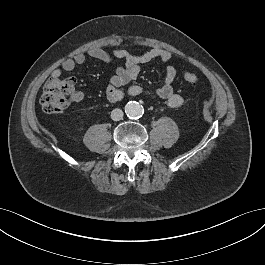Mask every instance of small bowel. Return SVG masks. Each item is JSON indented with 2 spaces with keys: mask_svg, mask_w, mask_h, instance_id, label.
<instances>
[{
  "mask_svg": "<svg viewBox=\"0 0 265 265\" xmlns=\"http://www.w3.org/2000/svg\"><path fill=\"white\" fill-rule=\"evenodd\" d=\"M87 56L103 62L121 61L117 67L116 74L110 79L106 89L107 100L111 103L119 102L124 98V86L138 77L143 65L154 60L168 63L172 59V54L168 50L159 48L151 49L141 55H132L123 49H113L111 52H107L100 48H91L86 54L76 53L73 57L63 60L61 68L53 70L51 75L61 76L62 71H72L77 65L84 64ZM176 75L175 67L166 65L164 78L156 89L157 96L171 108H178L183 104V97L176 93L173 88V81ZM128 93L137 96L143 93V88L133 85L128 89ZM82 99L83 93L76 92L74 101L79 102Z\"/></svg>",
  "mask_w": 265,
  "mask_h": 265,
  "instance_id": "obj_1",
  "label": "small bowel"
}]
</instances>
